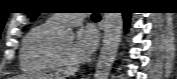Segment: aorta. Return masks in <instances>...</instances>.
<instances>
[{"label":"aorta","mask_w":177,"mask_h":79,"mask_svg":"<svg viewBox=\"0 0 177 79\" xmlns=\"http://www.w3.org/2000/svg\"><path fill=\"white\" fill-rule=\"evenodd\" d=\"M103 22V44L97 61L94 79H108L110 75L121 42L123 27L122 13H105ZM61 37L72 40L74 34L71 31H64Z\"/></svg>","instance_id":"obj_1"}]
</instances>
